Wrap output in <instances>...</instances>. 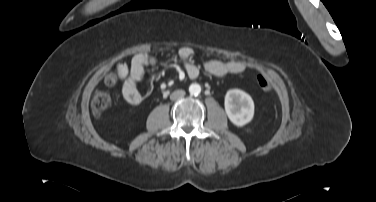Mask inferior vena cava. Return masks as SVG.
<instances>
[{
  "instance_id": "1",
  "label": "inferior vena cava",
  "mask_w": 376,
  "mask_h": 202,
  "mask_svg": "<svg viewBox=\"0 0 376 202\" xmlns=\"http://www.w3.org/2000/svg\"><path fill=\"white\" fill-rule=\"evenodd\" d=\"M184 95H185V91H183V90H179V91L174 92V93L171 95V99H172V100H175V99H177V98L183 97Z\"/></svg>"
}]
</instances>
